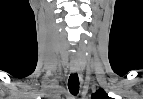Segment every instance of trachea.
<instances>
[{"mask_svg":"<svg viewBox=\"0 0 143 99\" xmlns=\"http://www.w3.org/2000/svg\"><path fill=\"white\" fill-rule=\"evenodd\" d=\"M68 88L72 95L76 96L79 93V78L77 73L71 74L68 80Z\"/></svg>","mask_w":143,"mask_h":99,"instance_id":"3493384b","label":"trachea"}]
</instances>
